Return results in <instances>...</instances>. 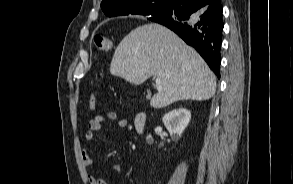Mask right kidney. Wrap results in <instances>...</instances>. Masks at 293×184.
Segmentation results:
<instances>
[{
  "label": "right kidney",
  "mask_w": 293,
  "mask_h": 184,
  "mask_svg": "<svg viewBox=\"0 0 293 184\" xmlns=\"http://www.w3.org/2000/svg\"><path fill=\"white\" fill-rule=\"evenodd\" d=\"M191 118V113L185 108L174 109L168 113H166L162 121L170 133V136L173 140L177 141L185 128L188 126ZM147 141H152V136H147Z\"/></svg>",
  "instance_id": "1"
}]
</instances>
